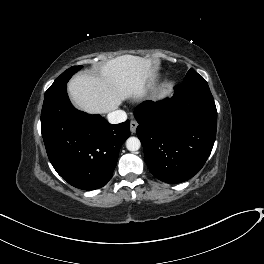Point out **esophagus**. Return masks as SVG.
Segmentation results:
<instances>
[{
  "mask_svg": "<svg viewBox=\"0 0 264 264\" xmlns=\"http://www.w3.org/2000/svg\"><path fill=\"white\" fill-rule=\"evenodd\" d=\"M138 124L136 121H131L130 122V131L131 133H135L136 132V128H137Z\"/></svg>",
  "mask_w": 264,
  "mask_h": 264,
  "instance_id": "obj_1",
  "label": "esophagus"
}]
</instances>
